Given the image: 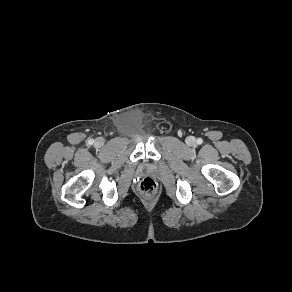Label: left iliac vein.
Here are the masks:
<instances>
[{
  "mask_svg": "<svg viewBox=\"0 0 292 292\" xmlns=\"http://www.w3.org/2000/svg\"><path fill=\"white\" fill-rule=\"evenodd\" d=\"M187 144L188 145H194L195 144V138L194 137H188L187 138Z\"/></svg>",
  "mask_w": 292,
  "mask_h": 292,
  "instance_id": "4c4485c4",
  "label": "left iliac vein"
}]
</instances>
